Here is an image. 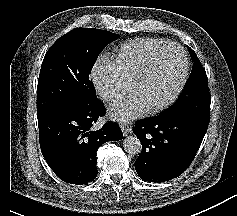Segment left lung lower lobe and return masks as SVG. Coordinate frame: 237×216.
<instances>
[{
    "instance_id": "left-lung-lower-lobe-1",
    "label": "left lung lower lobe",
    "mask_w": 237,
    "mask_h": 216,
    "mask_svg": "<svg viewBox=\"0 0 237 216\" xmlns=\"http://www.w3.org/2000/svg\"><path fill=\"white\" fill-rule=\"evenodd\" d=\"M133 132L142 143L135 161L141 179L164 182L182 174L193 161L208 125L182 117H157L139 120Z\"/></svg>"
}]
</instances>
